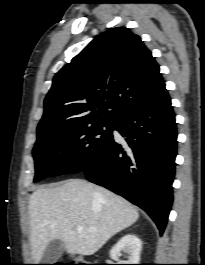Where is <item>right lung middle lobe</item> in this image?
<instances>
[{
  "label": "right lung middle lobe",
  "mask_w": 205,
  "mask_h": 265,
  "mask_svg": "<svg viewBox=\"0 0 205 265\" xmlns=\"http://www.w3.org/2000/svg\"><path fill=\"white\" fill-rule=\"evenodd\" d=\"M114 128L115 122L92 121L63 130L37 131L34 182L82 171L106 147Z\"/></svg>",
  "instance_id": "obj_1"
}]
</instances>
